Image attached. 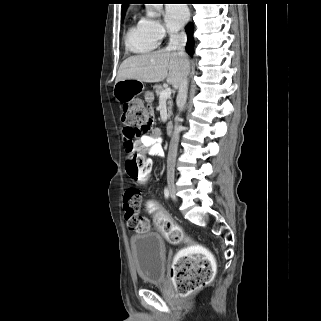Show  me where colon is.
<instances>
[{"instance_id": "5ec220e1", "label": "colon", "mask_w": 321, "mask_h": 321, "mask_svg": "<svg viewBox=\"0 0 321 321\" xmlns=\"http://www.w3.org/2000/svg\"><path fill=\"white\" fill-rule=\"evenodd\" d=\"M122 122L125 129L134 137L148 131L152 124V114L140 100H130L123 104ZM130 178L145 180L151 171V161L139 153H128L125 161ZM157 198L146 201L145 207L153 216L158 229L172 244L188 243L176 257L171 274L177 290L189 294L210 282L214 276V262L210 253L203 247L191 243L183 229L156 204ZM141 193L136 188H128L124 195V209L127 226L130 230L143 233L149 230L150 222L140 214Z\"/></svg>"}]
</instances>
